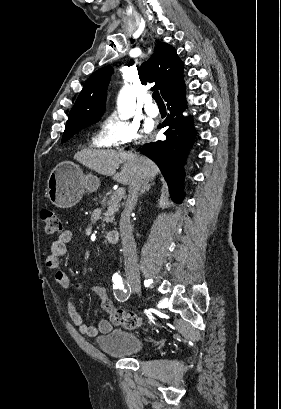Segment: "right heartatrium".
Segmentation results:
<instances>
[{"label":"right heart atrium","instance_id":"right-heart-atrium-1","mask_svg":"<svg viewBox=\"0 0 281 409\" xmlns=\"http://www.w3.org/2000/svg\"><path fill=\"white\" fill-rule=\"evenodd\" d=\"M133 117L134 115H118V119H104L98 134V141L103 146L116 149L133 144L139 145L144 136L150 134L152 127L146 124L142 128Z\"/></svg>","mask_w":281,"mask_h":409}]
</instances>
